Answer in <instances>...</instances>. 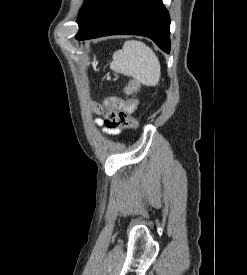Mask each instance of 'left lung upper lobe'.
<instances>
[{"label": "left lung upper lobe", "instance_id": "1", "mask_svg": "<svg viewBox=\"0 0 247 275\" xmlns=\"http://www.w3.org/2000/svg\"><path fill=\"white\" fill-rule=\"evenodd\" d=\"M100 1L101 0H85L77 21L79 28L83 25L85 20L88 18V16L91 14L93 9L98 5Z\"/></svg>", "mask_w": 247, "mask_h": 275}]
</instances>
